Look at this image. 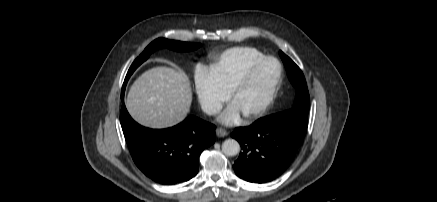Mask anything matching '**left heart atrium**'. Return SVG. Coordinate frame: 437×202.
Here are the masks:
<instances>
[{"label":"left heart atrium","mask_w":437,"mask_h":202,"mask_svg":"<svg viewBox=\"0 0 437 202\" xmlns=\"http://www.w3.org/2000/svg\"><path fill=\"white\" fill-rule=\"evenodd\" d=\"M242 112L239 106L232 102L227 109L220 116V121L224 124L230 125L238 122L241 119Z\"/></svg>","instance_id":"1"}]
</instances>
